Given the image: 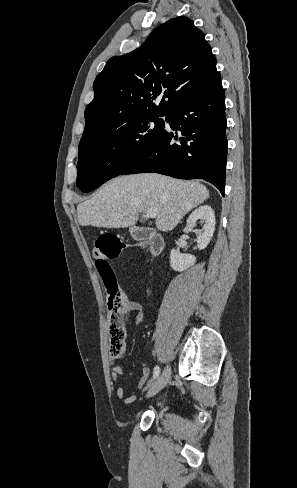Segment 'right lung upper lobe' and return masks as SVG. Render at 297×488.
<instances>
[{"label":"right lung upper lobe","mask_w":297,"mask_h":488,"mask_svg":"<svg viewBox=\"0 0 297 488\" xmlns=\"http://www.w3.org/2000/svg\"><path fill=\"white\" fill-rule=\"evenodd\" d=\"M219 78L203 32L187 17L173 18L141 47L108 60L94 81L95 97L85 110L81 139L97 138L145 117L166 116ZM158 95L163 98L156 106L152 100Z\"/></svg>","instance_id":"cb5924a9"}]
</instances>
